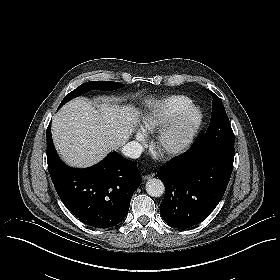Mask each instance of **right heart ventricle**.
<instances>
[{"label": "right heart ventricle", "mask_w": 280, "mask_h": 280, "mask_svg": "<svg viewBox=\"0 0 280 280\" xmlns=\"http://www.w3.org/2000/svg\"><path fill=\"white\" fill-rule=\"evenodd\" d=\"M190 103L191 100L186 95L183 94L170 95L165 99V103H164L167 117L168 118L173 117L176 113L188 107ZM145 124L151 131H158L164 125L162 121H157L153 119L147 120Z\"/></svg>", "instance_id": "obj_1"}]
</instances>
